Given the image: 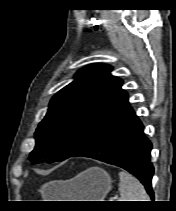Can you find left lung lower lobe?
<instances>
[{
    "label": "left lung lower lobe",
    "instance_id": "left-lung-lower-lobe-1",
    "mask_svg": "<svg viewBox=\"0 0 176 211\" xmlns=\"http://www.w3.org/2000/svg\"><path fill=\"white\" fill-rule=\"evenodd\" d=\"M151 148L143 133V124L128 105L94 132L71 157H89L124 168L141 181L154 199Z\"/></svg>",
    "mask_w": 176,
    "mask_h": 211
}]
</instances>
